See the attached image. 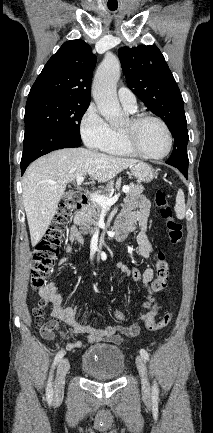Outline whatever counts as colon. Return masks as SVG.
Returning <instances> with one entry per match:
<instances>
[{
  "instance_id": "obj_1",
  "label": "colon",
  "mask_w": 213,
  "mask_h": 433,
  "mask_svg": "<svg viewBox=\"0 0 213 433\" xmlns=\"http://www.w3.org/2000/svg\"><path fill=\"white\" fill-rule=\"evenodd\" d=\"M86 195L80 191H71L66 199L60 204L56 217L46 232L45 236L37 243L34 248L32 266H31V285L35 289H42L46 286L47 279L50 276L52 266L59 253L60 244L62 242L64 230L67 220L79 209H81ZM155 205L158 207L160 216L164 220L167 237L172 244H178L182 240L183 231L182 225L173 218L172 209L167 201L165 193L161 190L155 194ZM169 279V267L165 256L162 252L158 253L156 263V277L152 284L153 296L150 297L147 303V312L142 318L146 322V326L150 331H158L171 322L173 313L168 312L163 315L159 321H155L150 316V310L155 303V295L166 290ZM48 302L42 300L34 309L36 324L40 328H46L49 321L45 317ZM123 316L121 311L115 312V319L120 321ZM137 331L134 327L123 330V334L127 337L135 336Z\"/></svg>"
}]
</instances>
